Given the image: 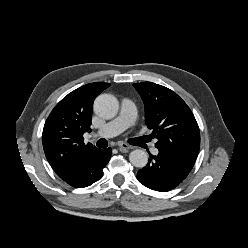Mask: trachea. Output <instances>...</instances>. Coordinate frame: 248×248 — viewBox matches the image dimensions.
<instances>
[{
  "label": "trachea",
  "instance_id": "1",
  "mask_svg": "<svg viewBox=\"0 0 248 248\" xmlns=\"http://www.w3.org/2000/svg\"><path fill=\"white\" fill-rule=\"evenodd\" d=\"M97 146L100 147V148L107 147L108 146V141L106 139L102 138V139L98 140Z\"/></svg>",
  "mask_w": 248,
  "mask_h": 248
}]
</instances>
